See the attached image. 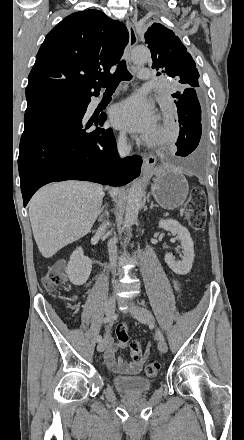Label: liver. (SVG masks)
Segmentation results:
<instances>
[{
  "label": "liver",
  "instance_id": "6515ba94",
  "mask_svg": "<svg viewBox=\"0 0 244 440\" xmlns=\"http://www.w3.org/2000/svg\"><path fill=\"white\" fill-rule=\"evenodd\" d=\"M105 194L99 184L53 182L40 188L29 202L34 240L44 258L90 232Z\"/></svg>",
  "mask_w": 244,
  "mask_h": 440
}]
</instances>
